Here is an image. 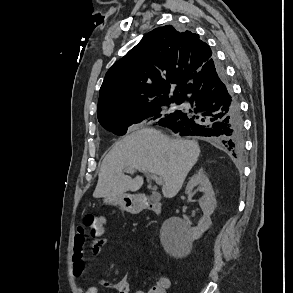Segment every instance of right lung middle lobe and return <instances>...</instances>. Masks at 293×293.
<instances>
[{"label":"right lung middle lobe","instance_id":"right-lung-middle-lobe-1","mask_svg":"<svg viewBox=\"0 0 293 293\" xmlns=\"http://www.w3.org/2000/svg\"><path fill=\"white\" fill-rule=\"evenodd\" d=\"M173 101V100H172ZM170 101H162L154 104L146 109L134 111L130 113H114L105 115L98 118L100 124L107 130L114 132L115 134L122 135L125 134L127 128L134 123H139L144 119L151 118L159 119L164 118L170 112L163 106L169 104Z\"/></svg>","mask_w":293,"mask_h":293}]
</instances>
